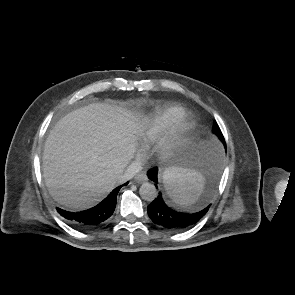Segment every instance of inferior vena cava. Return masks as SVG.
Wrapping results in <instances>:
<instances>
[{
    "label": "inferior vena cava",
    "mask_w": 295,
    "mask_h": 295,
    "mask_svg": "<svg viewBox=\"0 0 295 295\" xmlns=\"http://www.w3.org/2000/svg\"><path fill=\"white\" fill-rule=\"evenodd\" d=\"M142 170V166L139 162L133 161L125 170L123 175L121 176L122 181H127L132 179L137 173Z\"/></svg>",
    "instance_id": "1"
}]
</instances>
